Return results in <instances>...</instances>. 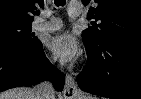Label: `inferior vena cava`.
<instances>
[{"label": "inferior vena cava", "instance_id": "obj_1", "mask_svg": "<svg viewBox=\"0 0 141 99\" xmlns=\"http://www.w3.org/2000/svg\"><path fill=\"white\" fill-rule=\"evenodd\" d=\"M35 99H55L54 88L51 82L43 81L34 87Z\"/></svg>", "mask_w": 141, "mask_h": 99}]
</instances>
